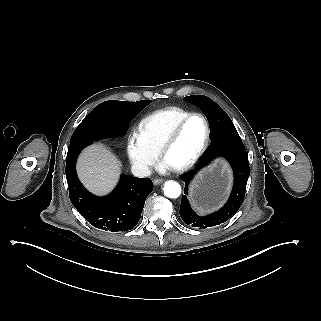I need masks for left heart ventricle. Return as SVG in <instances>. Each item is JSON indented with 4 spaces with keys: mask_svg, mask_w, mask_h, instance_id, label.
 I'll return each instance as SVG.
<instances>
[{
    "mask_svg": "<svg viewBox=\"0 0 321 321\" xmlns=\"http://www.w3.org/2000/svg\"><path fill=\"white\" fill-rule=\"evenodd\" d=\"M205 136L204 122L199 117L187 121L181 128L176 141L168 150L165 160L173 168L187 164L198 152Z\"/></svg>",
    "mask_w": 321,
    "mask_h": 321,
    "instance_id": "obj_1",
    "label": "left heart ventricle"
}]
</instances>
